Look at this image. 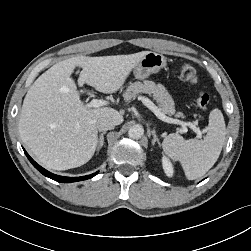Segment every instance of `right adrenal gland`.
I'll return each instance as SVG.
<instances>
[{
  "mask_svg": "<svg viewBox=\"0 0 251 251\" xmlns=\"http://www.w3.org/2000/svg\"><path fill=\"white\" fill-rule=\"evenodd\" d=\"M106 134V132H102L99 136V140H98V144H97V151H99L102 146L104 145V135Z\"/></svg>",
  "mask_w": 251,
  "mask_h": 251,
  "instance_id": "2a0ac1e0",
  "label": "right adrenal gland"
}]
</instances>
